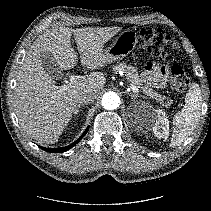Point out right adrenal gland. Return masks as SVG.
Listing matches in <instances>:
<instances>
[{"mask_svg": "<svg viewBox=\"0 0 211 211\" xmlns=\"http://www.w3.org/2000/svg\"><path fill=\"white\" fill-rule=\"evenodd\" d=\"M81 108V105H78L75 112H74V115L76 116L78 113H79V109Z\"/></svg>", "mask_w": 211, "mask_h": 211, "instance_id": "obj_1", "label": "right adrenal gland"}]
</instances>
